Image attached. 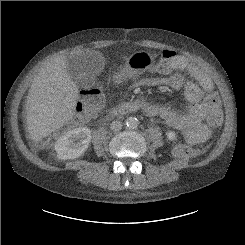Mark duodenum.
<instances>
[{
	"label": "duodenum",
	"mask_w": 245,
	"mask_h": 245,
	"mask_svg": "<svg viewBox=\"0 0 245 245\" xmlns=\"http://www.w3.org/2000/svg\"><path fill=\"white\" fill-rule=\"evenodd\" d=\"M149 107H151V104L148 101L138 99L114 109L111 112L110 117L119 118L137 111H143Z\"/></svg>",
	"instance_id": "obj_1"
}]
</instances>
